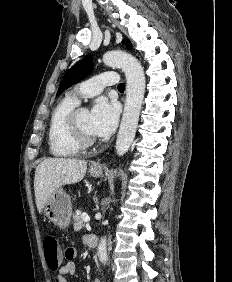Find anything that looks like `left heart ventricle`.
Instances as JSON below:
<instances>
[{"instance_id": "left-heart-ventricle-1", "label": "left heart ventricle", "mask_w": 232, "mask_h": 282, "mask_svg": "<svg viewBox=\"0 0 232 282\" xmlns=\"http://www.w3.org/2000/svg\"><path fill=\"white\" fill-rule=\"evenodd\" d=\"M78 122L83 130V132L91 137H94L95 135L92 133L91 128H90V112L86 109H83L79 112L78 115Z\"/></svg>"}]
</instances>
